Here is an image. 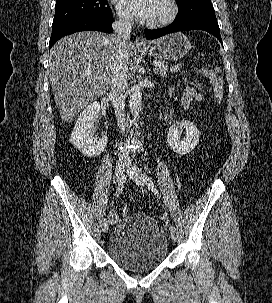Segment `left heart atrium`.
<instances>
[{"label":"left heart atrium","mask_w":272,"mask_h":303,"mask_svg":"<svg viewBox=\"0 0 272 303\" xmlns=\"http://www.w3.org/2000/svg\"><path fill=\"white\" fill-rule=\"evenodd\" d=\"M156 0H123L124 10L134 18L142 21L152 19Z\"/></svg>","instance_id":"obj_1"}]
</instances>
